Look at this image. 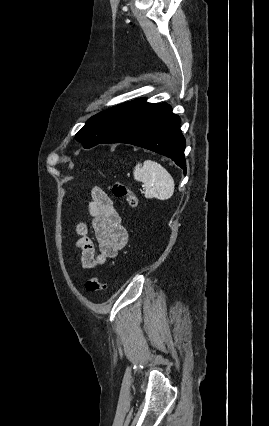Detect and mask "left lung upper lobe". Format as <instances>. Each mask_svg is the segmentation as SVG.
I'll return each instance as SVG.
<instances>
[{
    "mask_svg": "<svg viewBox=\"0 0 269 426\" xmlns=\"http://www.w3.org/2000/svg\"><path fill=\"white\" fill-rule=\"evenodd\" d=\"M127 103L112 107L91 117L76 134V140L81 142L85 148L99 144L114 127Z\"/></svg>",
    "mask_w": 269,
    "mask_h": 426,
    "instance_id": "1",
    "label": "left lung upper lobe"
}]
</instances>
